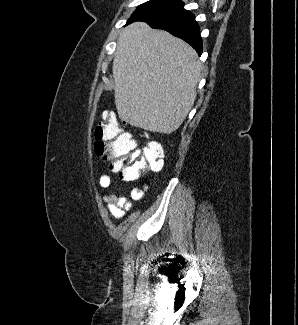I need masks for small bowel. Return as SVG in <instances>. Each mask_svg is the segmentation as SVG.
Wrapping results in <instances>:
<instances>
[{"label": "small bowel", "instance_id": "obj_1", "mask_svg": "<svg viewBox=\"0 0 298 325\" xmlns=\"http://www.w3.org/2000/svg\"><path fill=\"white\" fill-rule=\"evenodd\" d=\"M99 185L104 189L110 188L112 186L111 176L107 173H102L99 177ZM147 189L148 184L146 183L135 187L131 192L132 199L135 201L142 200L146 195ZM104 200L107 204L108 211L116 219H121L133 207V203L130 200L115 193L105 194Z\"/></svg>", "mask_w": 298, "mask_h": 325}]
</instances>
